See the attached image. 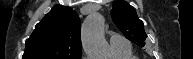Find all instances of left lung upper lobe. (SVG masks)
I'll return each instance as SVG.
<instances>
[{"mask_svg":"<svg viewBox=\"0 0 193 59\" xmlns=\"http://www.w3.org/2000/svg\"><path fill=\"white\" fill-rule=\"evenodd\" d=\"M111 17L119 30L127 39L140 47L145 45L147 35L143 22L137 17L136 10L126 1L118 0L113 3Z\"/></svg>","mask_w":193,"mask_h":59,"instance_id":"obj_1","label":"left lung upper lobe"}]
</instances>
